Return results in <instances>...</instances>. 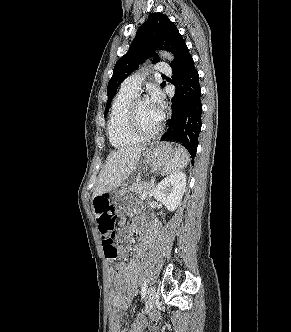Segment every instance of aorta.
Masks as SVG:
<instances>
[{
  "mask_svg": "<svg viewBox=\"0 0 291 332\" xmlns=\"http://www.w3.org/2000/svg\"><path fill=\"white\" fill-rule=\"evenodd\" d=\"M160 54L163 57H165L166 59L170 60V61H172L174 59L173 55L170 54V53H168V52H166V51H162V52H160Z\"/></svg>",
  "mask_w": 291,
  "mask_h": 332,
  "instance_id": "obj_1",
  "label": "aorta"
}]
</instances>
